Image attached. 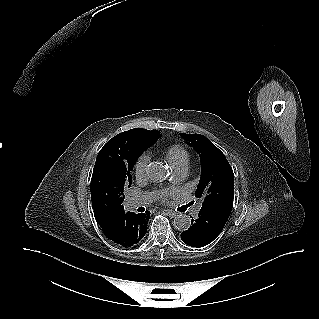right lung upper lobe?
I'll list each match as a JSON object with an SVG mask.
<instances>
[{"instance_id": "obj_1", "label": "right lung upper lobe", "mask_w": 319, "mask_h": 319, "mask_svg": "<svg viewBox=\"0 0 319 319\" xmlns=\"http://www.w3.org/2000/svg\"><path fill=\"white\" fill-rule=\"evenodd\" d=\"M160 136L161 134L157 130L135 128L122 132L115 137L122 139L133 147L144 152L148 147L154 144ZM107 212L108 211H101L94 213L96 221H101L106 216Z\"/></svg>"}]
</instances>
